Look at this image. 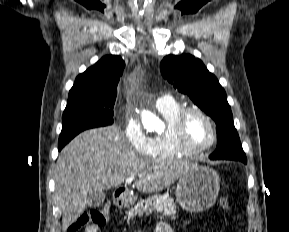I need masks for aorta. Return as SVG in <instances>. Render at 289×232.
Masks as SVG:
<instances>
[{
	"label": "aorta",
	"instance_id": "762f6f07",
	"mask_svg": "<svg viewBox=\"0 0 289 232\" xmlns=\"http://www.w3.org/2000/svg\"><path fill=\"white\" fill-rule=\"evenodd\" d=\"M143 124L149 131H160L163 128L162 122L151 112H143Z\"/></svg>",
	"mask_w": 289,
	"mask_h": 232
}]
</instances>
